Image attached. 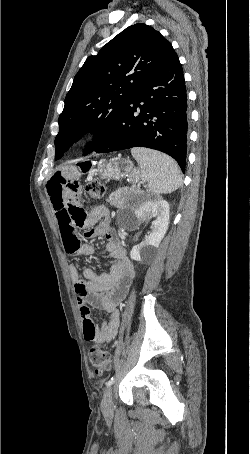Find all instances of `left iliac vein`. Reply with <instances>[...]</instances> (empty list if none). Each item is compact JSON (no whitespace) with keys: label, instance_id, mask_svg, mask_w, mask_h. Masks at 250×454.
<instances>
[{"label":"left iliac vein","instance_id":"left-iliac-vein-1","mask_svg":"<svg viewBox=\"0 0 250 454\" xmlns=\"http://www.w3.org/2000/svg\"><path fill=\"white\" fill-rule=\"evenodd\" d=\"M113 398H112V389L108 387L103 394L102 399V411L104 414H111L113 412Z\"/></svg>","mask_w":250,"mask_h":454}]
</instances>
